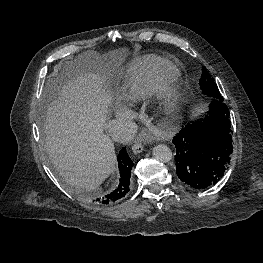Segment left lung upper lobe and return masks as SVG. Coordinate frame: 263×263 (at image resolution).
Here are the masks:
<instances>
[{
	"mask_svg": "<svg viewBox=\"0 0 263 263\" xmlns=\"http://www.w3.org/2000/svg\"><path fill=\"white\" fill-rule=\"evenodd\" d=\"M199 84L204 94L213 97L215 99H223L216 83L214 82V80L211 78V76L208 74L207 70L204 67H202V76Z\"/></svg>",
	"mask_w": 263,
	"mask_h": 263,
	"instance_id": "1",
	"label": "left lung upper lobe"
}]
</instances>
